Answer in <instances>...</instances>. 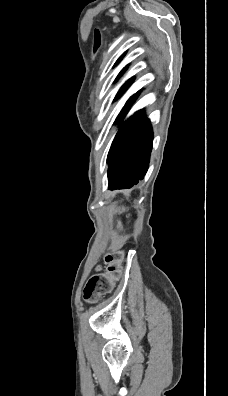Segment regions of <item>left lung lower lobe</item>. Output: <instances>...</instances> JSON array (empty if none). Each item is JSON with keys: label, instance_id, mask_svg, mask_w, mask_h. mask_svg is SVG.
Here are the masks:
<instances>
[{"label": "left lung lower lobe", "instance_id": "left-lung-lower-lobe-1", "mask_svg": "<svg viewBox=\"0 0 228 396\" xmlns=\"http://www.w3.org/2000/svg\"><path fill=\"white\" fill-rule=\"evenodd\" d=\"M138 96L133 95L123 107L120 117L129 110ZM150 121L138 111L128 118L117 132L108 153V189L131 188L147 172L152 149Z\"/></svg>", "mask_w": 228, "mask_h": 396}]
</instances>
